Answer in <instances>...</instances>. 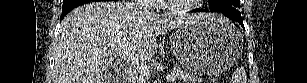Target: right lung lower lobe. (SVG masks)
<instances>
[{
    "instance_id": "right-lung-lower-lobe-1",
    "label": "right lung lower lobe",
    "mask_w": 307,
    "mask_h": 83,
    "mask_svg": "<svg viewBox=\"0 0 307 83\" xmlns=\"http://www.w3.org/2000/svg\"><path fill=\"white\" fill-rule=\"evenodd\" d=\"M90 0H64L63 7H62V15L60 17V21L62 18L68 14L72 9L75 7L82 5L84 3L89 2Z\"/></svg>"
}]
</instances>
